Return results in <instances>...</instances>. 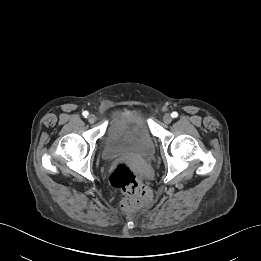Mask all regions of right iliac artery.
Wrapping results in <instances>:
<instances>
[{"mask_svg": "<svg viewBox=\"0 0 261 261\" xmlns=\"http://www.w3.org/2000/svg\"><path fill=\"white\" fill-rule=\"evenodd\" d=\"M82 115H83L85 118H87L88 115H89V113H88V111H83Z\"/></svg>", "mask_w": 261, "mask_h": 261, "instance_id": "obj_1", "label": "right iliac artery"}]
</instances>
